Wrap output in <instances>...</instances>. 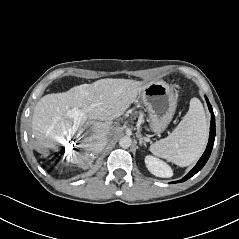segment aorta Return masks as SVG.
<instances>
[{"instance_id":"762f6f07","label":"aorta","mask_w":239,"mask_h":239,"mask_svg":"<svg viewBox=\"0 0 239 239\" xmlns=\"http://www.w3.org/2000/svg\"><path fill=\"white\" fill-rule=\"evenodd\" d=\"M131 143H132V140L128 136H124L119 140L120 147L124 149L129 148L131 146Z\"/></svg>"}]
</instances>
